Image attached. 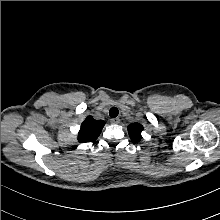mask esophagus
Returning <instances> with one entry per match:
<instances>
[{
  "label": "esophagus",
  "mask_w": 220,
  "mask_h": 220,
  "mask_svg": "<svg viewBox=\"0 0 220 220\" xmlns=\"http://www.w3.org/2000/svg\"><path fill=\"white\" fill-rule=\"evenodd\" d=\"M119 122H120V119L117 118V117L111 119V123H112V124H119Z\"/></svg>",
  "instance_id": "obj_1"
}]
</instances>
